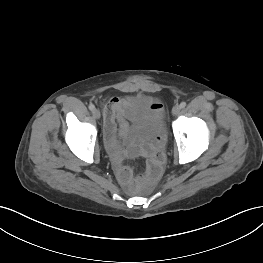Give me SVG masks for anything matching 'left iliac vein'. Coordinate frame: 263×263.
I'll return each mask as SVG.
<instances>
[{
  "label": "left iliac vein",
  "instance_id": "obj_1",
  "mask_svg": "<svg viewBox=\"0 0 263 263\" xmlns=\"http://www.w3.org/2000/svg\"><path fill=\"white\" fill-rule=\"evenodd\" d=\"M180 110H181L180 106L179 105H175L173 107V109H172V114L176 116V115H178L180 113Z\"/></svg>",
  "mask_w": 263,
  "mask_h": 263
}]
</instances>
